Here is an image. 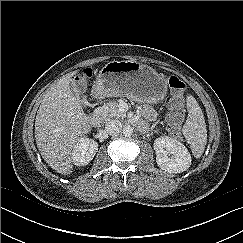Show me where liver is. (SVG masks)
Listing matches in <instances>:
<instances>
[{"instance_id":"liver-1","label":"liver","mask_w":243,"mask_h":243,"mask_svg":"<svg viewBox=\"0 0 243 243\" xmlns=\"http://www.w3.org/2000/svg\"><path fill=\"white\" fill-rule=\"evenodd\" d=\"M76 73L65 75L49 88L35 120V138L42 158L63 175L72 172L75 145L90 131L89 118L70 89L71 77Z\"/></svg>"}]
</instances>
